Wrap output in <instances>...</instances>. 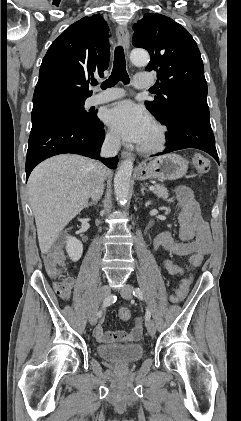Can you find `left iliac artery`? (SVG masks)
Returning <instances> with one entry per match:
<instances>
[{"label": "left iliac artery", "mask_w": 241, "mask_h": 421, "mask_svg": "<svg viewBox=\"0 0 241 421\" xmlns=\"http://www.w3.org/2000/svg\"><path fill=\"white\" fill-rule=\"evenodd\" d=\"M133 295L137 298H139L140 300H143V294L142 291L139 288H135L133 290ZM146 320L149 321L151 318V312L149 308H146V314H145Z\"/></svg>", "instance_id": "1"}]
</instances>
